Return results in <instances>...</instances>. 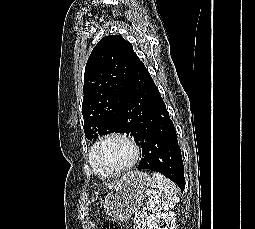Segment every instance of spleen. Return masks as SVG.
I'll list each match as a JSON object with an SVG mask.
<instances>
[{"mask_svg": "<svg viewBox=\"0 0 255 229\" xmlns=\"http://www.w3.org/2000/svg\"><path fill=\"white\" fill-rule=\"evenodd\" d=\"M153 196L147 203V208L155 213L161 210H169L177 202V188L175 184L164 175L154 172L152 175Z\"/></svg>", "mask_w": 255, "mask_h": 229, "instance_id": "1", "label": "spleen"}]
</instances>
